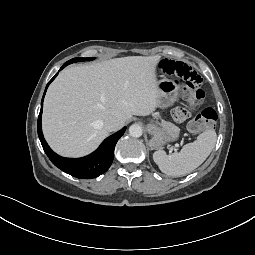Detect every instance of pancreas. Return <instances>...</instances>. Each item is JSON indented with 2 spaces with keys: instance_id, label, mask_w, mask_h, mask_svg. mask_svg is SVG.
Returning a JSON list of instances; mask_svg holds the SVG:
<instances>
[{
  "instance_id": "cf45deb5",
  "label": "pancreas",
  "mask_w": 255,
  "mask_h": 255,
  "mask_svg": "<svg viewBox=\"0 0 255 255\" xmlns=\"http://www.w3.org/2000/svg\"><path fill=\"white\" fill-rule=\"evenodd\" d=\"M162 125L171 129L172 131L176 133H179V128L170 122H163Z\"/></svg>"
}]
</instances>
